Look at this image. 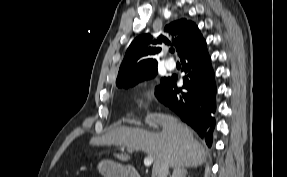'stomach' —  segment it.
<instances>
[{"label": "stomach", "mask_w": 287, "mask_h": 177, "mask_svg": "<svg viewBox=\"0 0 287 177\" xmlns=\"http://www.w3.org/2000/svg\"><path fill=\"white\" fill-rule=\"evenodd\" d=\"M98 170L104 177H128L129 169L126 166L110 160H102Z\"/></svg>", "instance_id": "obj_1"}]
</instances>
